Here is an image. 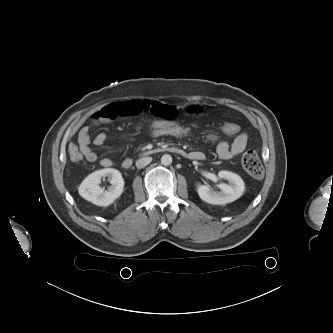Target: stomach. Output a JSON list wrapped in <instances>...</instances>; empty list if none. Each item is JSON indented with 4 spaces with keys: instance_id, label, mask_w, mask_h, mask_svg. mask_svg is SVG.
I'll return each instance as SVG.
<instances>
[{
    "instance_id": "0dacf381",
    "label": "stomach",
    "mask_w": 333,
    "mask_h": 333,
    "mask_svg": "<svg viewBox=\"0 0 333 333\" xmlns=\"http://www.w3.org/2000/svg\"><path fill=\"white\" fill-rule=\"evenodd\" d=\"M218 112V105L213 102L180 104L174 110L175 116L180 119L213 118L218 115Z\"/></svg>"
}]
</instances>
